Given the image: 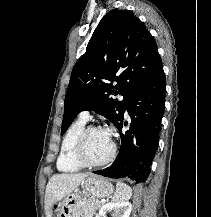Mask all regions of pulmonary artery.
<instances>
[{
  "mask_svg": "<svg viewBox=\"0 0 211 217\" xmlns=\"http://www.w3.org/2000/svg\"><path fill=\"white\" fill-rule=\"evenodd\" d=\"M79 117L85 121L89 120L90 114L88 111H82L79 115Z\"/></svg>",
  "mask_w": 211,
  "mask_h": 217,
  "instance_id": "pulmonary-artery-1",
  "label": "pulmonary artery"
}]
</instances>
